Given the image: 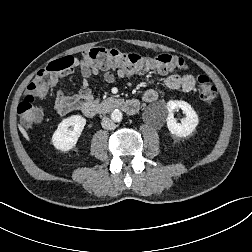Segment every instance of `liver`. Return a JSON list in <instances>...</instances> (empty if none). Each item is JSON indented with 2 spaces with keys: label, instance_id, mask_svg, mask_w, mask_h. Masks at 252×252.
<instances>
[{
  "label": "liver",
  "instance_id": "6515ba94",
  "mask_svg": "<svg viewBox=\"0 0 252 252\" xmlns=\"http://www.w3.org/2000/svg\"><path fill=\"white\" fill-rule=\"evenodd\" d=\"M19 130L23 134V136L29 141V136H28L26 130L22 126H19Z\"/></svg>",
  "mask_w": 252,
  "mask_h": 252
}]
</instances>
